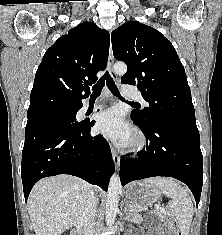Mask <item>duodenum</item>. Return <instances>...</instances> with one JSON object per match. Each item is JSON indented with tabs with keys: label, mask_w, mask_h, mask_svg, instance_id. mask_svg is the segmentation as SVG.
<instances>
[{
	"label": "duodenum",
	"mask_w": 222,
	"mask_h": 235,
	"mask_svg": "<svg viewBox=\"0 0 222 235\" xmlns=\"http://www.w3.org/2000/svg\"><path fill=\"white\" fill-rule=\"evenodd\" d=\"M71 235H83L82 230L80 228H76L73 230Z\"/></svg>",
	"instance_id": "410a0bca"
}]
</instances>
